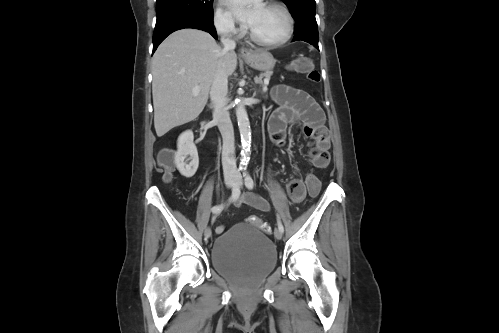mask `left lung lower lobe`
Instances as JSON below:
<instances>
[{
    "label": "left lung lower lobe",
    "mask_w": 499,
    "mask_h": 333,
    "mask_svg": "<svg viewBox=\"0 0 499 333\" xmlns=\"http://www.w3.org/2000/svg\"><path fill=\"white\" fill-rule=\"evenodd\" d=\"M295 21H296L295 36L292 41L302 40L310 43L311 45L319 49L318 47L319 36H318V28L315 16L297 18L295 19Z\"/></svg>",
    "instance_id": "1"
}]
</instances>
